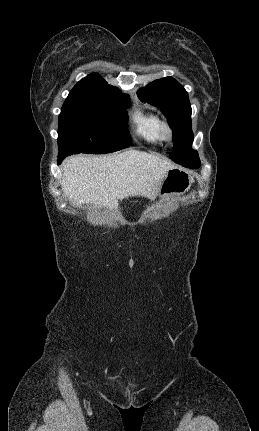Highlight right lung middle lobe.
Returning <instances> with one entry per match:
<instances>
[{"label":"right lung middle lobe","mask_w":259,"mask_h":431,"mask_svg":"<svg viewBox=\"0 0 259 431\" xmlns=\"http://www.w3.org/2000/svg\"><path fill=\"white\" fill-rule=\"evenodd\" d=\"M130 98L114 94L99 99L65 100L59 115V153L105 154L130 146L127 111Z\"/></svg>","instance_id":"obj_1"}]
</instances>
